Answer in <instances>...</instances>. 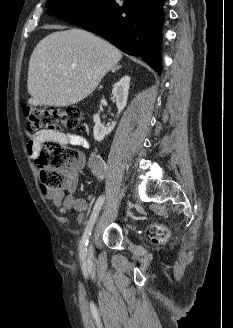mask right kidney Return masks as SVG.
<instances>
[{"label":"right kidney","mask_w":233,"mask_h":328,"mask_svg":"<svg viewBox=\"0 0 233 328\" xmlns=\"http://www.w3.org/2000/svg\"><path fill=\"white\" fill-rule=\"evenodd\" d=\"M130 85V77L124 76L117 83L114 84L112 89L113 97L116 101V106L118 108V115L121 111L126 107L127 98H128V90ZM94 139L96 141H102L106 135H108L115 127L116 122H112V125L109 127H105L100 120L99 114L94 115Z\"/></svg>","instance_id":"1"}]
</instances>
